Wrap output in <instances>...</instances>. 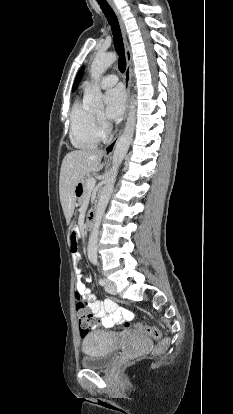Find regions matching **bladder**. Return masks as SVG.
Masks as SVG:
<instances>
[{"mask_svg":"<svg viewBox=\"0 0 233 414\" xmlns=\"http://www.w3.org/2000/svg\"><path fill=\"white\" fill-rule=\"evenodd\" d=\"M116 336L114 333L103 330H94L87 333L82 341L84 356L81 359V366L84 369L100 370L109 368L116 355ZM140 341L149 346L147 339Z\"/></svg>","mask_w":233,"mask_h":414,"instance_id":"bladder-1","label":"bladder"}]
</instances>
